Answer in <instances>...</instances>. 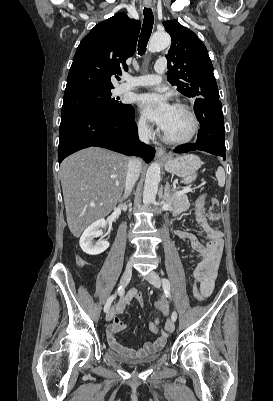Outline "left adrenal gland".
I'll use <instances>...</instances> for the list:
<instances>
[{
  "mask_svg": "<svg viewBox=\"0 0 273 401\" xmlns=\"http://www.w3.org/2000/svg\"><path fill=\"white\" fill-rule=\"evenodd\" d=\"M170 192V184L168 180H166V184L164 186V194H160L161 198H163V201H169V198H171Z\"/></svg>",
  "mask_w": 273,
  "mask_h": 401,
  "instance_id": "obj_1",
  "label": "left adrenal gland"
}]
</instances>
